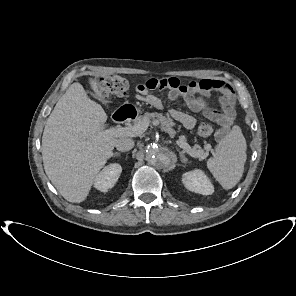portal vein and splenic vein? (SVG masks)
<instances>
[{
	"mask_svg": "<svg viewBox=\"0 0 296 296\" xmlns=\"http://www.w3.org/2000/svg\"><path fill=\"white\" fill-rule=\"evenodd\" d=\"M148 126V121H142L136 125L129 127H111L107 130L102 131V134L114 137H135L144 133ZM176 143L180 148H182L192 157H198L200 155V152L193 150V148H191L190 145L184 141V139H179L176 141Z\"/></svg>",
	"mask_w": 296,
	"mask_h": 296,
	"instance_id": "18ae733b",
	"label": "portal vein and splenic vein"
}]
</instances>
